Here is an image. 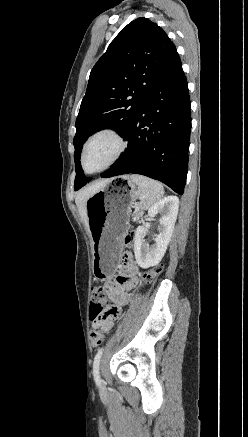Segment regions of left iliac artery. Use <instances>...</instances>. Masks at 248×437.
Instances as JSON below:
<instances>
[{"mask_svg":"<svg viewBox=\"0 0 248 437\" xmlns=\"http://www.w3.org/2000/svg\"><path fill=\"white\" fill-rule=\"evenodd\" d=\"M102 353H103V348H100L97 354L95 355L94 362H93V375L97 385H100L99 364H100V358L102 356Z\"/></svg>","mask_w":248,"mask_h":437,"instance_id":"obj_1","label":"left iliac artery"}]
</instances>
